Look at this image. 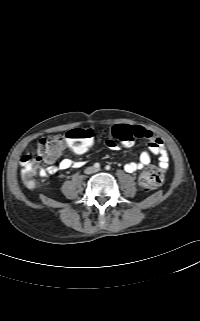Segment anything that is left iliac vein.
Instances as JSON below:
<instances>
[{"instance_id":"4c4485c4","label":"left iliac vein","mask_w":200,"mask_h":321,"mask_svg":"<svg viewBox=\"0 0 200 321\" xmlns=\"http://www.w3.org/2000/svg\"><path fill=\"white\" fill-rule=\"evenodd\" d=\"M100 171V169L98 168V169H95V172H99Z\"/></svg>"}]
</instances>
